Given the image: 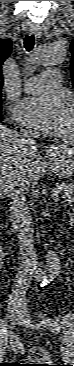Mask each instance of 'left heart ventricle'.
Listing matches in <instances>:
<instances>
[{
    "label": "left heart ventricle",
    "mask_w": 74,
    "mask_h": 366,
    "mask_svg": "<svg viewBox=\"0 0 74 366\" xmlns=\"http://www.w3.org/2000/svg\"><path fill=\"white\" fill-rule=\"evenodd\" d=\"M71 119H72L71 109H70L68 102H66L65 113L62 117L60 127H59V131L63 135H67V131L71 128V124H72Z\"/></svg>",
    "instance_id": "1"
}]
</instances>
